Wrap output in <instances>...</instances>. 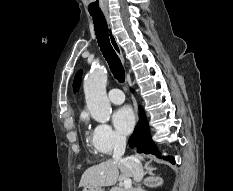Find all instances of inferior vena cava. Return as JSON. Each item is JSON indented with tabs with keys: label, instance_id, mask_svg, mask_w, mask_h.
<instances>
[{
	"label": "inferior vena cava",
	"instance_id": "1",
	"mask_svg": "<svg viewBox=\"0 0 233 191\" xmlns=\"http://www.w3.org/2000/svg\"><path fill=\"white\" fill-rule=\"evenodd\" d=\"M125 148L126 138L123 136L118 137L114 144L113 159L123 163L131 171L134 181L140 182L144 176L142 164L137 156L123 159Z\"/></svg>",
	"mask_w": 233,
	"mask_h": 191
}]
</instances>
